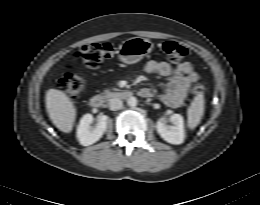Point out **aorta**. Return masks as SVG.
<instances>
[{
    "instance_id": "762f6f07",
    "label": "aorta",
    "mask_w": 260,
    "mask_h": 205,
    "mask_svg": "<svg viewBox=\"0 0 260 205\" xmlns=\"http://www.w3.org/2000/svg\"><path fill=\"white\" fill-rule=\"evenodd\" d=\"M127 104L130 106V107H135L137 105V99L136 97H129L128 100H127Z\"/></svg>"
}]
</instances>
